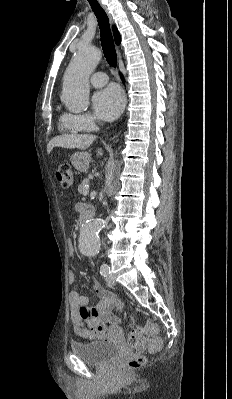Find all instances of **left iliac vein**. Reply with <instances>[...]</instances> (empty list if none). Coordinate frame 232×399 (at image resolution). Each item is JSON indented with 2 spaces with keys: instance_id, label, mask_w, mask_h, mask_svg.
Segmentation results:
<instances>
[{
  "instance_id": "obj_1",
  "label": "left iliac vein",
  "mask_w": 232,
  "mask_h": 399,
  "mask_svg": "<svg viewBox=\"0 0 232 399\" xmlns=\"http://www.w3.org/2000/svg\"><path fill=\"white\" fill-rule=\"evenodd\" d=\"M106 282L109 283L110 286H114L115 285V278H107Z\"/></svg>"
}]
</instances>
